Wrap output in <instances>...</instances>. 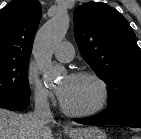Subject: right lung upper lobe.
<instances>
[{
	"instance_id": "cb5924a9",
	"label": "right lung upper lobe",
	"mask_w": 141,
	"mask_h": 139,
	"mask_svg": "<svg viewBox=\"0 0 141 139\" xmlns=\"http://www.w3.org/2000/svg\"><path fill=\"white\" fill-rule=\"evenodd\" d=\"M40 18L38 0H14L0 11V59H30Z\"/></svg>"
}]
</instances>
